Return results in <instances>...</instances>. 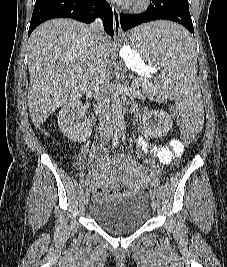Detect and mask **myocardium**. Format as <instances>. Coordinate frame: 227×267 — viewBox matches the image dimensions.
Masks as SVG:
<instances>
[{"instance_id":"f54148a6","label":"myocardium","mask_w":227,"mask_h":267,"mask_svg":"<svg viewBox=\"0 0 227 267\" xmlns=\"http://www.w3.org/2000/svg\"><path fill=\"white\" fill-rule=\"evenodd\" d=\"M150 0H133L131 8L134 11H143L149 6Z\"/></svg>"}]
</instances>
